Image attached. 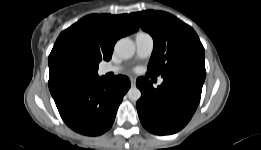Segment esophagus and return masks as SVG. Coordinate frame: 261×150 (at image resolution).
<instances>
[{"instance_id":"obj_1","label":"esophagus","mask_w":261,"mask_h":150,"mask_svg":"<svg viewBox=\"0 0 261 150\" xmlns=\"http://www.w3.org/2000/svg\"><path fill=\"white\" fill-rule=\"evenodd\" d=\"M131 81V86L134 87L136 84V79L135 78H130Z\"/></svg>"}]
</instances>
